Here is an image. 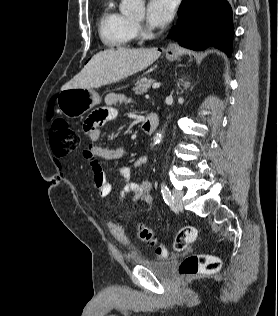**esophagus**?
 Masks as SVG:
<instances>
[{"label":"esophagus","mask_w":278,"mask_h":316,"mask_svg":"<svg viewBox=\"0 0 278 316\" xmlns=\"http://www.w3.org/2000/svg\"><path fill=\"white\" fill-rule=\"evenodd\" d=\"M177 44L175 42H170L166 48V53L168 55H175L177 53Z\"/></svg>","instance_id":"34e87169"}]
</instances>
